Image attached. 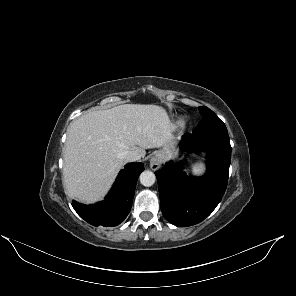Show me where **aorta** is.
I'll list each match as a JSON object with an SVG mask.
<instances>
[{
	"label": "aorta",
	"mask_w": 296,
	"mask_h": 296,
	"mask_svg": "<svg viewBox=\"0 0 296 296\" xmlns=\"http://www.w3.org/2000/svg\"><path fill=\"white\" fill-rule=\"evenodd\" d=\"M140 182L145 187H150L155 183L156 176L152 171L146 170L140 174Z\"/></svg>",
	"instance_id": "1"
}]
</instances>
